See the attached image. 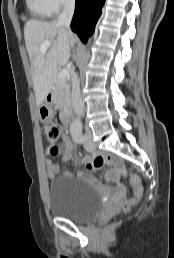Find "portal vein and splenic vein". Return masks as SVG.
I'll list each match as a JSON object with an SVG mask.
<instances>
[{"instance_id":"obj_1","label":"portal vein and splenic vein","mask_w":174,"mask_h":258,"mask_svg":"<svg viewBox=\"0 0 174 258\" xmlns=\"http://www.w3.org/2000/svg\"><path fill=\"white\" fill-rule=\"evenodd\" d=\"M51 45H52V43L50 41H44L42 43L41 47H40V52L42 54H44ZM67 76H68V70L67 69H62L59 72V77L60 78L65 79Z\"/></svg>"}]
</instances>
